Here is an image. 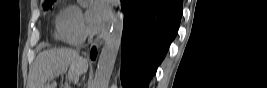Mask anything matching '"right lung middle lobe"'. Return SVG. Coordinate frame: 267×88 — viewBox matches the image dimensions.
I'll list each match as a JSON object with an SVG mask.
<instances>
[{
    "instance_id": "right-lung-middle-lobe-1",
    "label": "right lung middle lobe",
    "mask_w": 267,
    "mask_h": 88,
    "mask_svg": "<svg viewBox=\"0 0 267 88\" xmlns=\"http://www.w3.org/2000/svg\"><path fill=\"white\" fill-rule=\"evenodd\" d=\"M54 1L55 0L46 2L45 5H44V10L51 8V6L54 3Z\"/></svg>"
}]
</instances>
